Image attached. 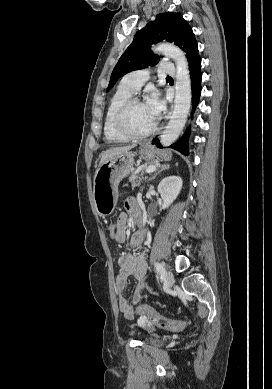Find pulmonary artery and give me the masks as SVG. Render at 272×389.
Masks as SVG:
<instances>
[{"instance_id": "pulmonary-artery-1", "label": "pulmonary artery", "mask_w": 272, "mask_h": 389, "mask_svg": "<svg viewBox=\"0 0 272 389\" xmlns=\"http://www.w3.org/2000/svg\"><path fill=\"white\" fill-rule=\"evenodd\" d=\"M161 72L168 75H174L175 74L174 64L168 59L163 60L161 65ZM148 78H149L148 70L146 69L136 70L129 73L123 78L121 82V86L130 90L132 93H136L137 91H139L142 85L148 80Z\"/></svg>"}]
</instances>
